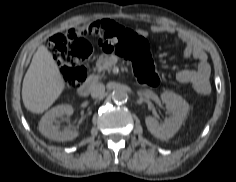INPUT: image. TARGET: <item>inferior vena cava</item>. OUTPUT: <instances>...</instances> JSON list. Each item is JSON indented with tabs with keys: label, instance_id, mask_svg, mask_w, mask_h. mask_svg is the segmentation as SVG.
<instances>
[{
	"label": "inferior vena cava",
	"instance_id": "obj_1",
	"mask_svg": "<svg viewBox=\"0 0 236 182\" xmlns=\"http://www.w3.org/2000/svg\"><path fill=\"white\" fill-rule=\"evenodd\" d=\"M105 92V86L102 83H96L91 87V97L98 98Z\"/></svg>",
	"mask_w": 236,
	"mask_h": 182
}]
</instances>
